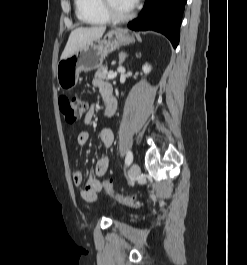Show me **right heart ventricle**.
I'll use <instances>...</instances> for the list:
<instances>
[{"label": "right heart ventricle", "mask_w": 247, "mask_h": 265, "mask_svg": "<svg viewBox=\"0 0 247 265\" xmlns=\"http://www.w3.org/2000/svg\"><path fill=\"white\" fill-rule=\"evenodd\" d=\"M76 14L80 21L91 25H104L109 22L102 10L101 0H74Z\"/></svg>", "instance_id": "e07e8e85"}]
</instances>
